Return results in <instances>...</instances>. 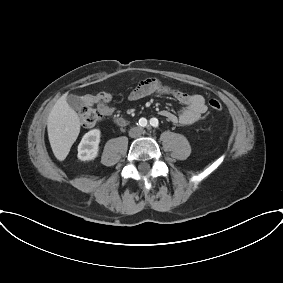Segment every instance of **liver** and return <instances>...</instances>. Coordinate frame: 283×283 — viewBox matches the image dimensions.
I'll return each mask as SVG.
<instances>
[{"label": "liver", "instance_id": "obj_1", "mask_svg": "<svg viewBox=\"0 0 283 283\" xmlns=\"http://www.w3.org/2000/svg\"><path fill=\"white\" fill-rule=\"evenodd\" d=\"M47 131L55 157L63 161L80 132L79 117L68 105L65 95L57 100L49 113Z\"/></svg>", "mask_w": 283, "mask_h": 283}]
</instances>
